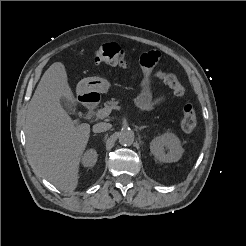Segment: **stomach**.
<instances>
[{
  "instance_id": "0dacf381",
  "label": "stomach",
  "mask_w": 246,
  "mask_h": 246,
  "mask_svg": "<svg viewBox=\"0 0 246 246\" xmlns=\"http://www.w3.org/2000/svg\"><path fill=\"white\" fill-rule=\"evenodd\" d=\"M109 88L110 82L100 77L84 78L77 85L78 94L107 93Z\"/></svg>"
}]
</instances>
